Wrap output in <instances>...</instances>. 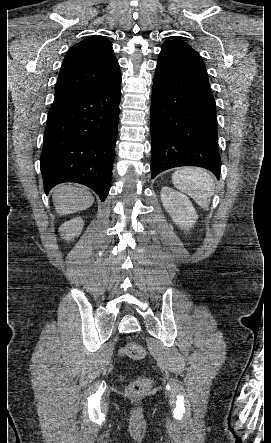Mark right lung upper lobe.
Returning a JSON list of instances; mask_svg holds the SVG:
<instances>
[{"label": "right lung upper lobe", "instance_id": "1", "mask_svg": "<svg viewBox=\"0 0 271 443\" xmlns=\"http://www.w3.org/2000/svg\"><path fill=\"white\" fill-rule=\"evenodd\" d=\"M121 78L111 42L92 36L67 52L58 77L55 95L111 85Z\"/></svg>", "mask_w": 271, "mask_h": 443}]
</instances>
